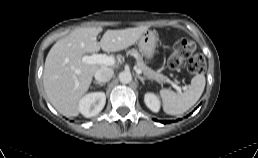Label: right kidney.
I'll return each instance as SVG.
<instances>
[{"label": "right kidney", "mask_w": 258, "mask_h": 158, "mask_svg": "<svg viewBox=\"0 0 258 158\" xmlns=\"http://www.w3.org/2000/svg\"><path fill=\"white\" fill-rule=\"evenodd\" d=\"M106 96L104 92H92L85 95L79 102L80 113L87 118L98 115L104 108Z\"/></svg>", "instance_id": "obj_1"}]
</instances>
